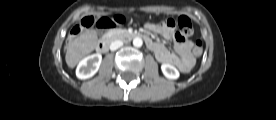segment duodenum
Segmentation results:
<instances>
[{
	"instance_id": "410a0bca",
	"label": "duodenum",
	"mask_w": 276,
	"mask_h": 120,
	"mask_svg": "<svg viewBox=\"0 0 276 120\" xmlns=\"http://www.w3.org/2000/svg\"><path fill=\"white\" fill-rule=\"evenodd\" d=\"M119 38H142V39L145 40V42H146L147 44L150 43L149 38H148L145 34H143V33H141V34H130V35H128V36L123 35V34H120V35L114 34V35L110 36V37L107 38V39H104V40L99 41V42L97 43V45H96V48H97V50H98L99 52H101V53H106V52L109 50V47H110L111 42H112V41H115V40H117V39H119Z\"/></svg>"
}]
</instances>
